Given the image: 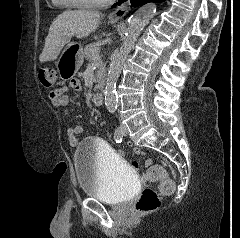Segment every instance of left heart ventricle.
I'll use <instances>...</instances> for the list:
<instances>
[{
    "label": "left heart ventricle",
    "mask_w": 240,
    "mask_h": 238,
    "mask_svg": "<svg viewBox=\"0 0 240 238\" xmlns=\"http://www.w3.org/2000/svg\"><path fill=\"white\" fill-rule=\"evenodd\" d=\"M87 1L98 2V1H103V0H87Z\"/></svg>",
    "instance_id": "left-heart-ventricle-1"
}]
</instances>
